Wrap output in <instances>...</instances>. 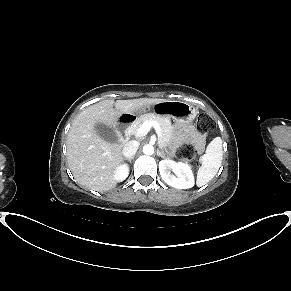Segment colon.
I'll return each instance as SVG.
<instances>
[{
	"label": "colon",
	"instance_id": "1",
	"mask_svg": "<svg viewBox=\"0 0 291 291\" xmlns=\"http://www.w3.org/2000/svg\"><path fill=\"white\" fill-rule=\"evenodd\" d=\"M196 128L200 132L210 131L214 128V122L211 117L202 114L197 119ZM177 155L183 161L193 163L196 159L197 153L192 145L184 144L178 148Z\"/></svg>",
	"mask_w": 291,
	"mask_h": 291
}]
</instances>
